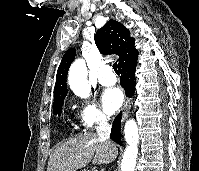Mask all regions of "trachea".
Masks as SVG:
<instances>
[{
    "mask_svg": "<svg viewBox=\"0 0 199 171\" xmlns=\"http://www.w3.org/2000/svg\"><path fill=\"white\" fill-rule=\"evenodd\" d=\"M113 69H114V71H115V73H119L118 72V65H117V62H115L114 64H113Z\"/></svg>",
    "mask_w": 199,
    "mask_h": 171,
    "instance_id": "3493384b",
    "label": "trachea"
}]
</instances>
